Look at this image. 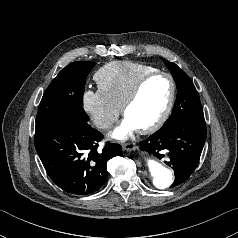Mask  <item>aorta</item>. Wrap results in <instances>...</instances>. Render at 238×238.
I'll return each instance as SVG.
<instances>
[{"label": "aorta", "mask_w": 238, "mask_h": 238, "mask_svg": "<svg viewBox=\"0 0 238 238\" xmlns=\"http://www.w3.org/2000/svg\"><path fill=\"white\" fill-rule=\"evenodd\" d=\"M142 157L153 185L158 189H167L173 182L171 170L147 154H142Z\"/></svg>", "instance_id": "1"}]
</instances>
